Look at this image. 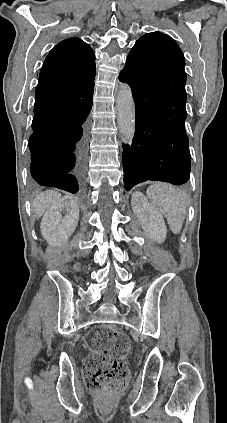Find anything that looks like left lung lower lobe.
I'll list each match as a JSON object with an SVG mask.
<instances>
[{"label": "left lung lower lobe", "instance_id": "left-lung-lower-lobe-1", "mask_svg": "<svg viewBox=\"0 0 227 423\" xmlns=\"http://www.w3.org/2000/svg\"><path fill=\"white\" fill-rule=\"evenodd\" d=\"M136 125L131 145H123L125 189L152 180L181 185L190 177L189 140L183 113L159 112L148 95L132 86Z\"/></svg>", "mask_w": 227, "mask_h": 423}]
</instances>
